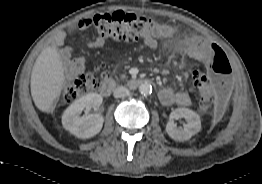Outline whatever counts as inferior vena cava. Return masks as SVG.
<instances>
[{
  "label": "inferior vena cava",
  "instance_id": "obj_1",
  "mask_svg": "<svg viewBox=\"0 0 262 184\" xmlns=\"http://www.w3.org/2000/svg\"><path fill=\"white\" fill-rule=\"evenodd\" d=\"M130 93L129 89L124 87V86H119L117 87L115 90H114V97L115 98H122V97H125V96H128Z\"/></svg>",
  "mask_w": 262,
  "mask_h": 184
}]
</instances>
